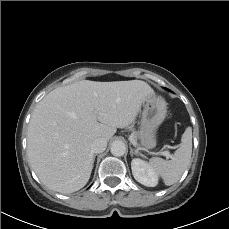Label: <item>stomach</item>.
I'll return each mask as SVG.
<instances>
[{
	"label": "stomach",
	"mask_w": 229,
	"mask_h": 229,
	"mask_svg": "<svg viewBox=\"0 0 229 229\" xmlns=\"http://www.w3.org/2000/svg\"><path fill=\"white\" fill-rule=\"evenodd\" d=\"M166 102L155 93L143 103L140 130L138 133L141 145L149 150L156 147V132L164 121L167 112Z\"/></svg>",
	"instance_id": "1"
}]
</instances>
